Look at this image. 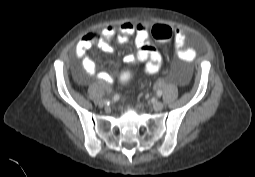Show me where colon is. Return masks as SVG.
<instances>
[{"label": "colon", "instance_id": "colon-1", "mask_svg": "<svg viewBox=\"0 0 255 177\" xmlns=\"http://www.w3.org/2000/svg\"><path fill=\"white\" fill-rule=\"evenodd\" d=\"M151 33L153 38L160 42H167L173 37L172 27L166 23L154 25ZM132 75L131 70H124L120 74V79L122 82H128L132 78Z\"/></svg>", "mask_w": 255, "mask_h": 177}]
</instances>
